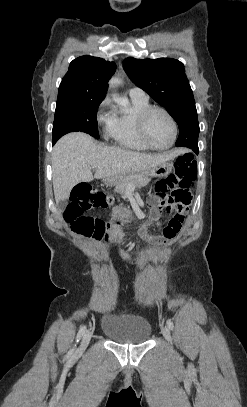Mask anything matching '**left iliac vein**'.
<instances>
[{"mask_svg": "<svg viewBox=\"0 0 247 407\" xmlns=\"http://www.w3.org/2000/svg\"><path fill=\"white\" fill-rule=\"evenodd\" d=\"M162 334H163L164 338H165L169 343H171V333H170V329H169L168 326H164V327L162 328Z\"/></svg>", "mask_w": 247, "mask_h": 407, "instance_id": "1", "label": "left iliac vein"}]
</instances>
